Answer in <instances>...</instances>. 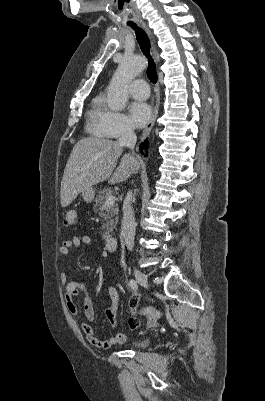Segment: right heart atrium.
I'll return each instance as SVG.
<instances>
[{"label":"right heart atrium","instance_id":"right-heart-atrium-1","mask_svg":"<svg viewBox=\"0 0 265 401\" xmlns=\"http://www.w3.org/2000/svg\"><path fill=\"white\" fill-rule=\"evenodd\" d=\"M98 124L105 134L113 138H125L134 132L133 124L123 113L107 106L98 116Z\"/></svg>","mask_w":265,"mask_h":401}]
</instances>
